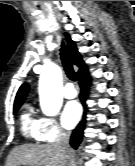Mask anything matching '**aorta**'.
<instances>
[{
	"mask_svg": "<svg viewBox=\"0 0 135 166\" xmlns=\"http://www.w3.org/2000/svg\"><path fill=\"white\" fill-rule=\"evenodd\" d=\"M39 96L42 112L47 116L56 115L63 102L62 72L57 65L44 68L39 80Z\"/></svg>",
	"mask_w": 135,
	"mask_h": 166,
	"instance_id": "762f6f07",
	"label": "aorta"
}]
</instances>
